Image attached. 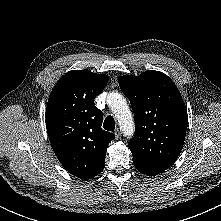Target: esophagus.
I'll return each mask as SVG.
<instances>
[{
    "mask_svg": "<svg viewBox=\"0 0 221 221\" xmlns=\"http://www.w3.org/2000/svg\"><path fill=\"white\" fill-rule=\"evenodd\" d=\"M114 135H115L116 139H119L121 136V130L119 128L115 129Z\"/></svg>",
    "mask_w": 221,
    "mask_h": 221,
    "instance_id": "1",
    "label": "esophagus"
}]
</instances>
